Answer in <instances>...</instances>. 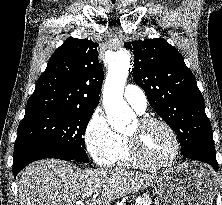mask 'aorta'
Listing matches in <instances>:
<instances>
[{
  "mask_svg": "<svg viewBox=\"0 0 222 205\" xmlns=\"http://www.w3.org/2000/svg\"><path fill=\"white\" fill-rule=\"evenodd\" d=\"M130 68L127 52H117L109 62L108 74L103 90V104L112 127L122 132L135 117L132 109L123 99V92Z\"/></svg>",
  "mask_w": 222,
  "mask_h": 205,
  "instance_id": "1",
  "label": "aorta"
}]
</instances>
